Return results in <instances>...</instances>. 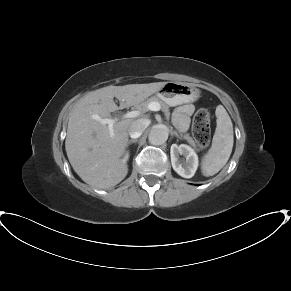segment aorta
I'll list each match as a JSON object with an SVG mask.
<instances>
[{"mask_svg": "<svg viewBox=\"0 0 291 291\" xmlns=\"http://www.w3.org/2000/svg\"><path fill=\"white\" fill-rule=\"evenodd\" d=\"M169 136V130L165 125H156L154 126L148 136V140L153 145H162L164 144Z\"/></svg>", "mask_w": 291, "mask_h": 291, "instance_id": "1", "label": "aorta"}]
</instances>
